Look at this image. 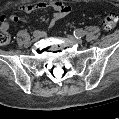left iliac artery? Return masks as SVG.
I'll use <instances>...</instances> for the list:
<instances>
[{
    "label": "left iliac artery",
    "instance_id": "left-iliac-artery-1",
    "mask_svg": "<svg viewBox=\"0 0 119 119\" xmlns=\"http://www.w3.org/2000/svg\"><path fill=\"white\" fill-rule=\"evenodd\" d=\"M73 33L76 38H81L86 35V31L82 29H75Z\"/></svg>",
    "mask_w": 119,
    "mask_h": 119
}]
</instances>
